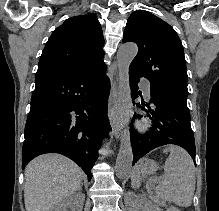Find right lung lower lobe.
I'll return each instance as SVG.
<instances>
[{
	"label": "right lung lower lobe",
	"instance_id": "98d812e1",
	"mask_svg": "<svg viewBox=\"0 0 219 211\" xmlns=\"http://www.w3.org/2000/svg\"><path fill=\"white\" fill-rule=\"evenodd\" d=\"M103 64L89 71L38 74L25 125L22 168L38 155L60 153L92 178L100 136L111 129L110 90Z\"/></svg>",
	"mask_w": 219,
	"mask_h": 211
}]
</instances>
